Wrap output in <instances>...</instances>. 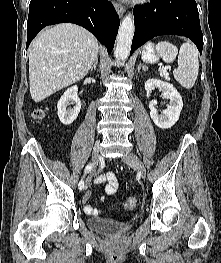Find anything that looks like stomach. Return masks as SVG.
<instances>
[{
	"mask_svg": "<svg viewBox=\"0 0 221 263\" xmlns=\"http://www.w3.org/2000/svg\"><path fill=\"white\" fill-rule=\"evenodd\" d=\"M142 59L147 63H156L158 61L159 57L155 53L152 44H148L142 51Z\"/></svg>",
	"mask_w": 221,
	"mask_h": 263,
	"instance_id": "stomach-1",
	"label": "stomach"
}]
</instances>
